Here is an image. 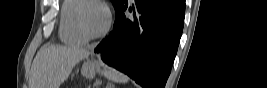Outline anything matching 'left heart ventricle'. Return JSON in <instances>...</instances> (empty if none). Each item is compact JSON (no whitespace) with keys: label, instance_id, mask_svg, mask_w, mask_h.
<instances>
[{"label":"left heart ventricle","instance_id":"obj_1","mask_svg":"<svg viewBox=\"0 0 267 88\" xmlns=\"http://www.w3.org/2000/svg\"><path fill=\"white\" fill-rule=\"evenodd\" d=\"M82 19L85 28L90 33H98L106 23V13L95 4H87L82 11Z\"/></svg>","mask_w":267,"mask_h":88}]
</instances>
